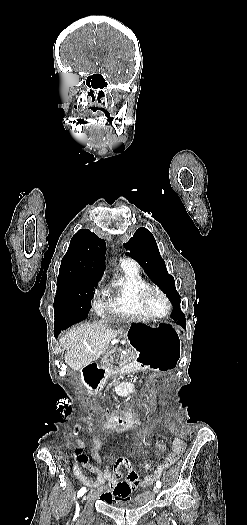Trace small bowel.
<instances>
[{"instance_id": "1", "label": "small bowel", "mask_w": 247, "mask_h": 525, "mask_svg": "<svg viewBox=\"0 0 247 525\" xmlns=\"http://www.w3.org/2000/svg\"><path fill=\"white\" fill-rule=\"evenodd\" d=\"M90 437L94 443L90 456L84 453L85 446L83 442L78 441L76 443V463L73 466V473L82 483L97 489L101 499L106 502L107 506H125L127 496L131 494L130 490H133L135 485L145 486L154 483L169 467L176 463L185 449L184 443L181 440H177L167 460L159 465L153 474L140 481L128 460L120 458L113 462L103 464L99 454L100 440L95 434H90ZM90 458L94 460L98 466L90 464ZM80 465L85 466L90 472L95 474V477L83 473ZM123 466L129 468L126 481H123V472L121 470ZM106 484H108V486Z\"/></svg>"}]
</instances>
